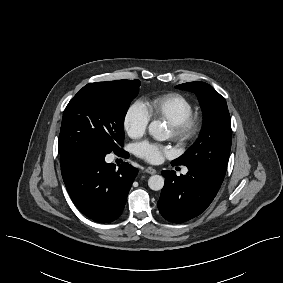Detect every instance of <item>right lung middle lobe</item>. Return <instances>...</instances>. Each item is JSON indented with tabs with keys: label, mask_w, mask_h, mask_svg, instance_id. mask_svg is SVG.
Returning <instances> with one entry per match:
<instances>
[{
	"label": "right lung middle lobe",
	"mask_w": 283,
	"mask_h": 283,
	"mask_svg": "<svg viewBox=\"0 0 283 283\" xmlns=\"http://www.w3.org/2000/svg\"><path fill=\"white\" fill-rule=\"evenodd\" d=\"M139 80L89 83L64 110L59 137L60 162L84 151H121L124 118L139 91Z\"/></svg>",
	"instance_id": "dd1d6c3e"
}]
</instances>
